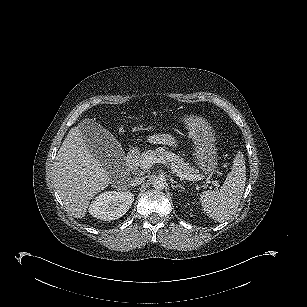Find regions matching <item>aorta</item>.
<instances>
[{
	"label": "aorta",
	"instance_id": "762f6f07",
	"mask_svg": "<svg viewBox=\"0 0 307 307\" xmlns=\"http://www.w3.org/2000/svg\"><path fill=\"white\" fill-rule=\"evenodd\" d=\"M167 182L165 177L163 176H156L152 179V186L156 189V190H162L166 187Z\"/></svg>",
	"mask_w": 307,
	"mask_h": 307
}]
</instances>
